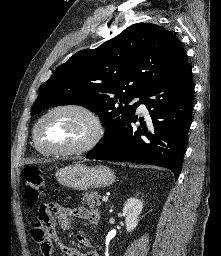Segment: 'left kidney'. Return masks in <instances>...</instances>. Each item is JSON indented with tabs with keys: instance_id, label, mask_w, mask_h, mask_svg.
Instances as JSON below:
<instances>
[{
	"instance_id": "obj_1",
	"label": "left kidney",
	"mask_w": 221,
	"mask_h": 256,
	"mask_svg": "<svg viewBox=\"0 0 221 256\" xmlns=\"http://www.w3.org/2000/svg\"><path fill=\"white\" fill-rule=\"evenodd\" d=\"M142 208L143 203L139 199L131 197L125 202L122 212L125 216L127 232H131L136 228Z\"/></svg>"
}]
</instances>
